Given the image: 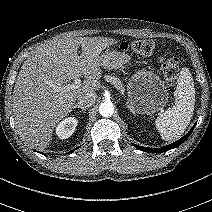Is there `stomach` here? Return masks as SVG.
Instances as JSON below:
<instances>
[{
	"label": "stomach",
	"instance_id": "stomach-1",
	"mask_svg": "<svg viewBox=\"0 0 212 212\" xmlns=\"http://www.w3.org/2000/svg\"><path fill=\"white\" fill-rule=\"evenodd\" d=\"M131 63L125 52L107 49L100 56L103 69L120 70ZM169 92L160 77L151 70L139 69L130 77L127 85V104L133 114H153L168 103Z\"/></svg>",
	"mask_w": 212,
	"mask_h": 212
}]
</instances>
